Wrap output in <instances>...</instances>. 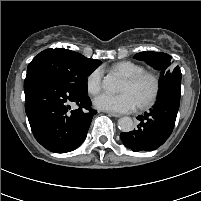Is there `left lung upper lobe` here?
Masks as SVG:
<instances>
[{"mask_svg":"<svg viewBox=\"0 0 201 201\" xmlns=\"http://www.w3.org/2000/svg\"><path fill=\"white\" fill-rule=\"evenodd\" d=\"M138 60H144L147 64L161 71L159 80V94L171 86L181 85V71L179 66L173 65L171 56L161 52H140L135 55Z\"/></svg>","mask_w":201,"mask_h":201,"instance_id":"1","label":"left lung upper lobe"}]
</instances>
